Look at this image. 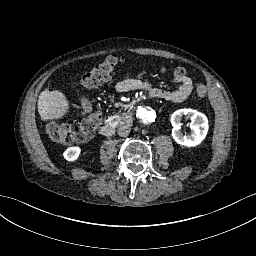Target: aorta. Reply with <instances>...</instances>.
<instances>
[{
	"mask_svg": "<svg viewBox=\"0 0 256 256\" xmlns=\"http://www.w3.org/2000/svg\"><path fill=\"white\" fill-rule=\"evenodd\" d=\"M138 118L144 123H151L155 119V111L151 107H142L138 111Z\"/></svg>",
	"mask_w": 256,
	"mask_h": 256,
	"instance_id": "aorta-1",
	"label": "aorta"
}]
</instances>
